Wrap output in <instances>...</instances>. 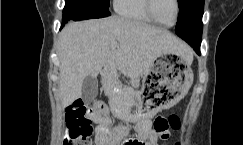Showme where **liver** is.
<instances>
[{"label": "liver", "mask_w": 243, "mask_h": 145, "mask_svg": "<svg viewBox=\"0 0 243 145\" xmlns=\"http://www.w3.org/2000/svg\"><path fill=\"white\" fill-rule=\"evenodd\" d=\"M117 43L112 47V43ZM188 46L163 28L118 16L71 22L59 38V88L62 106L82 96L87 76L119 70L133 80L144 76L161 55H185Z\"/></svg>", "instance_id": "liver-1"}]
</instances>
